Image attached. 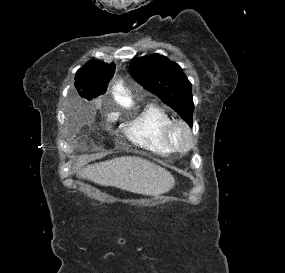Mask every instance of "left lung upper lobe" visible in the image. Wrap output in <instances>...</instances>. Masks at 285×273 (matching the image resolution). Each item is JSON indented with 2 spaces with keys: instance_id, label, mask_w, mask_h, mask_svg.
Masks as SVG:
<instances>
[{
  "instance_id": "obj_1",
  "label": "left lung upper lobe",
  "mask_w": 285,
  "mask_h": 273,
  "mask_svg": "<svg viewBox=\"0 0 285 273\" xmlns=\"http://www.w3.org/2000/svg\"><path fill=\"white\" fill-rule=\"evenodd\" d=\"M130 71L139 84L156 94L192 126L191 83L178 65L162 55L152 54L133 58Z\"/></svg>"
}]
</instances>
